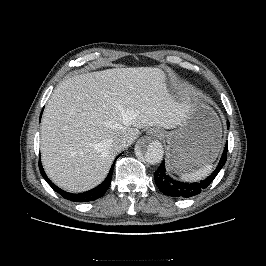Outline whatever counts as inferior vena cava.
Instances as JSON below:
<instances>
[{"label": "inferior vena cava", "mask_w": 266, "mask_h": 266, "mask_svg": "<svg viewBox=\"0 0 266 266\" xmlns=\"http://www.w3.org/2000/svg\"><path fill=\"white\" fill-rule=\"evenodd\" d=\"M129 143V137L126 134L117 135L112 138L111 146L115 151H120L125 148Z\"/></svg>", "instance_id": "602c4592"}]
</instances>
